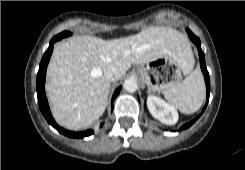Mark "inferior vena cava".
<instances>
[{"mask_svg":"<svg viewBox=\"0 0 245 170\" xmlns=\"http://www.w3.org/2000/svg\"><path fill=\"white\" fill-rule=\"evenodd\" d=\"M105 77L110 81H116L121 78L118 69L114 66L108 67L104 72Z\"/></svg>","mask_w":245,"mask_h":170,"instance_id":"602c4592","label":"inferior vena cava"}]
</instances>
